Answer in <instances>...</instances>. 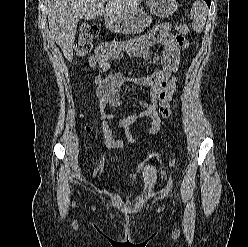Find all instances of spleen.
I'll list each match as a JSON object with an SVG mask.
<instances>
[{
    "label": "spleen",
    "instance_id": "obj_1",
    "mask_svg": "<svg viewBox=\"0 0 248 247\" xmlns=\"http://www.w3.org/2000/svg\"><path fill=\"white\" fill-rule=\"evenodd\" d=\"M192 28L200 33L203 30L206 21V8L200 2H195L191 9Z\"/></svg>",
    "mask_w": 248,
    "mask_h": 247
}]
</instances>
